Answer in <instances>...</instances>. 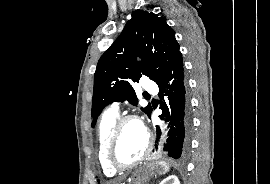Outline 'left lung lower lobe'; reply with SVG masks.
<instances>
[{
	"mask_svg": "<svg viewBox=\"0 0 270 184\" xmlns=\"http://www.w3.org/2000/svg\"><path fill=\"white\" fill-rule=\"evenodd\" d=\"M159 97L167 100L161 105L163 114L170 122L164 151L176 163H182L188 156L192 134V118L187 84L184 79L182 54L179 51L164 75L156 82ZM161 135L157 127V141Z\"/></svg>",
	"mask_w": 270,
	"mask_h": 184,
	"instance_id": "1",
	"label": "left lung lower lobe"
}]
</instances>
